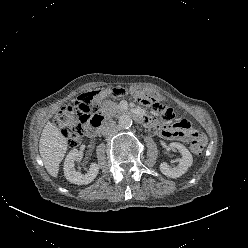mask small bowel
<instances>
[{"instance_id":"small-bowel-1","label":"small bowel","mask_w":248,"mask_h":248,"mask_svg":"<svg viewBox=\"0 0 248 248\" xmlns=\"http://www.w3.org/2000/svg\"><path fill=\"white\" fill-rule=\"evenodd\" d=\"M154 127L159 135L166 140L187 142L195 137H204L201 132L192 129L191 124L185 120L180 119L173 125H163L154 121Z\"/></svg>"}]
</instances>
